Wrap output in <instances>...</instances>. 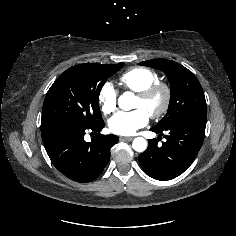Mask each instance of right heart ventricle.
Here are the masks:
<instances>
[{
  "label": "right heart ventricle",
  "instance_id": "obj_1",
  "mask_svg": "<svg viewBox=\"0 0 236 236\" xmlns=\"http://www.w3.org/2000/svg\"><path fill=\"white\" fill-rule=\"evenodd\" d=\"M120 84L129 91L140 92L159 81L157 72L149 68L135 67L129 69L119 78Z\"/></svg>",
  "mask_w": 236,
  "mask_h": 236
}]
</instances>
